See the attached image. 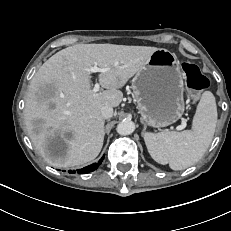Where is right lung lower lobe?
Here are the masks:
<instances>
[{
    "instance_id": "right-lung-lower-lobe-1",
    "label": "right lung lower lobe",
    "mask_w": 231,
    "mask_h": 231,
    "mask_svg": "<svg viewBox=\"0 0 231 231\" xmlns=\"http://www.w3.org/2000/svg\"><path fill=\"white\" fill-rule=\"evenodd\" d=\"M103 159H104V156L99 160V162L94 163L90 166L84 167L83 169H79L77 170V172L79 174L92 172L98 168V166L102 163ZM69 173H75V171H69Z\"/></svg>"
}]
</instances>
